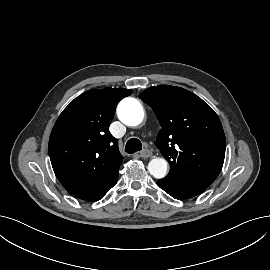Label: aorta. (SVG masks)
<instances>
[{"mask_svg": "<svg viewBox=\"0 0 270 270\" xmlns=\"http://www.w3.org/2000/svg\"><path fill=\"white\" fill-rule=\"evenodd\" d=\"M119 120L127 126H138L144 120V110L141 103L131 97L124 98L117 107ZM168 164L164 158H154L148 164L149 173L156 179L167 175Z\"/></svg>", "mask_w": 270, "mask_h": 270, "instance_id": "762f6f07", "label": "aorta"}]
</instances>
